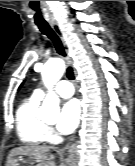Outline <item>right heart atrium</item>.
Instances as JSON below:
<instances>
[{
  "label": "right heart atrium",
  "mask_w": 135,
  "mask_h": 166,
  "mask_svg": "<svg viewBox=\"0 0 135 166\" xmlns=\"http://www.w3.org/2000/svg\"><path fill=\"white\" fill-rule=\"evenodd\" d=\"M47 131H48V139H50V140L57 139V136L52 128L48 127Z\"/></svg>",
  "instance_id": "d8ad5b80"
}]
</instances>
